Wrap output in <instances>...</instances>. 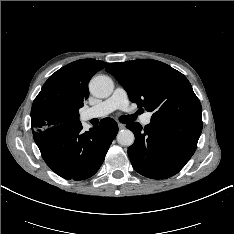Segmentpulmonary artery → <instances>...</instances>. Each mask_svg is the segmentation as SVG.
<instances>
[{"mask_svg":"<svg viewBox=\"0 0 234 234\" xmlns=\"http://www.w3.org/2000/svg\"><path fill=\"white\" fill-rule=\"evenodd\" d=\"M130 110L129 99L127 92L122 87H117L113 94L103 102L86 109L83 112L85 120L93 118H101L107 116L115 110ZM141 122L143 125H148L151 122V113L147 112L142 115Z\"/></svg>","mask_w":234,"mask_h":234,"instance_id":"pulmonary-artery-1","label":"pulmonary artery"}]
</instances>
